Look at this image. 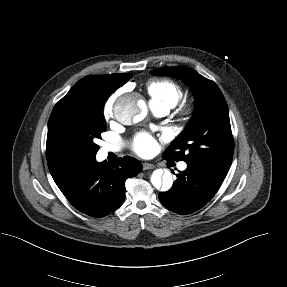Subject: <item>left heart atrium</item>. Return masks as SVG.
<instances>
[{"label": "left heart atrium", "instance_id": "left-heart-atrium-1", "mask_svg": "<svg viewBox=\"0 0 287 287\" xmlns=\"http://www.w3.org/2000/svg\"><path fill=\"white\" fill-rule=\"evenodd\" d=\"M132 147L134 152L138 155L148 156L155 151L157 144L150 134L141 132L135 136Z\"/></svg>", "mask_w": 287, "mask_h": 287}]
</instances>
